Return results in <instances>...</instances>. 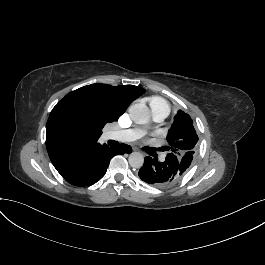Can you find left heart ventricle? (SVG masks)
Returning <instances> with one entry per match:
<instances>
[{"label":"left heart ventricle","instance_id":"b2bd125f","mask_svg":"<svg viewBox=\"0 0 265 265\" xmlns=\"http://www.w3.org/2000/svg\"><path fill=\"white\" fill-rule=\"evenodd\" d=\"M143 132H155L157 127L155 125L154 115L150 112L149 119L146 123L139 125Z\"/></svg>","mask_w":265,"mask_h":265}]
</instances>
